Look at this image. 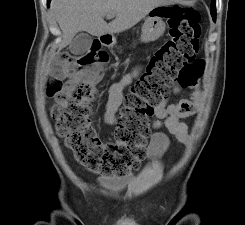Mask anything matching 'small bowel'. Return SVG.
<instances>
[{
    "label": "small bowel",
    "mask_w": 245,
    "mask_h": 225,
    "mask_svg": "<svg viewBox=\"0 0 245 225\" xmlns=\"http://www.w3.org/2000/svg\"><path fill=\"white\" fill-rule=\"evenodd\" d=\"M95 71L96 69L88 70L90 73ZM140 72L141 67H136L132 72L123 75L120 80L110 85L103 114V121L108 126H115L117 124L118 110L123 100V91L139 76ZM181 90L182 86L179 83H174L172 86L173 94L177 95ZM153 117L152 126L156 133L151 137L145 154L148 160L160 158L166 150L168 138L160 131L162 128H166L179 142L186 143L188 141L185 127L180 123L179 116L176 114V105L168 104V99L162 100L155 107Z\"/></svg>",
    "instance_id": "1"
}]
</instances>
